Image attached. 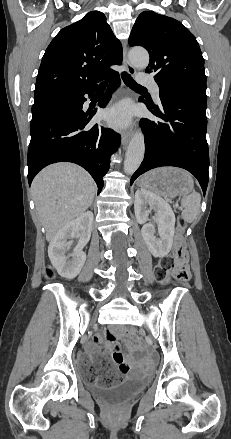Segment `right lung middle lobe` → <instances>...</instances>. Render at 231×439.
Segmentation results:
<instances>
[{"label":"right lung middle lobe","mask_w":231,"mask_h":439,"mask_svg":"<svg viewBox=\"0 0 231 439\" xmlns=\"http://www.w3.org/2000/svg\"><path fill=\"white\" fill-rule=\"evenodd\" d=\"M70 98L65 93H53L35 98L32 119L38 120L59 113L69 106Z\"/></svg>","instance_id":"dd1d6c3e"}]
</instances>
